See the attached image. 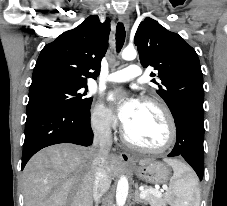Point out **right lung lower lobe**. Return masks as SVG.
Instances as JSON below:
<instances>
[{
    "label": "right lung lower lobe",
    "instance_id": "obj_1",
    "mask_svg": "<svg viewBox=\"0 0 227 206\" xmlns=\"http://www.w3.org/2000/svg\"><path fill=\"white\" fill-rule=\"evenodd\" d=\"M90 107L85 110L43 106L27 112L21 170L40 149L74 143L89 146L93 141Z\"/></svg>",
    "mask_w": 227,
    "mask_h": 206
}]
</instances>
